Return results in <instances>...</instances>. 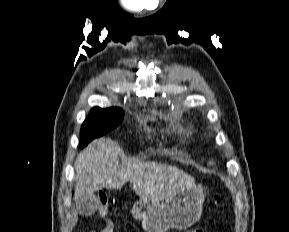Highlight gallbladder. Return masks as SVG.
Returning <instances> with one entry per match:
<instances>
[{"label": "gallbladder", "mask_w": 289, "mask_h": 232, "mask_svg": "<svg viewBox=\"0 0 289 232\" xmlns=\"http://www.w3.org/2000/svg\"><path fill=\"white\" fill-rule=\"evenodd\" d=\"M76 204L81 215L90 216L97 210L98 201L95 195L91 197L82 196Z\"/></svg>", "instance_id": "obj_1"}]
</instances>
